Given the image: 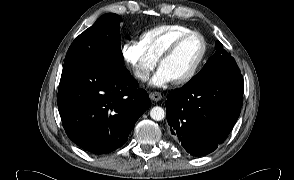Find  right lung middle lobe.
Returning a JSON list of instances; mask_svg holds the SVG:
<instances>
[{"mask_svg":"<svg viewBox=\"0 0 294 180\" xmlns=\"http://www.w3.org/2000/svg\"><path fill=\"white\" fill-rule=\"evenodd\" d=\"M120 21V16L108 13L81 33L66 54L62 73L88 65L123 69Z\"/></svg>","mask_w":294,"mask_h":180,"instance_id":"right-lung-middle-lobe-1","label":"right lung middle lobe"}]
</instances>
